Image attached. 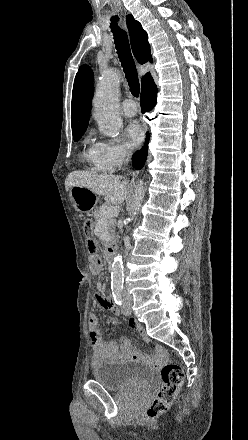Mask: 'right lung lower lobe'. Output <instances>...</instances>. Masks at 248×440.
<instances>
[{
  "label": "right lung lower lobe",
  "instance_id": "right-lung-lower-lobe-1",
  "mask_svg": "<svg viewBox=\"0 0 248 440\" xmlns=\"http://www.w3.org/2000/svg\"><path fill=\"white\" fill-rule=\"evenodd\" d=\"M157 87L153 81L150 79L142 87L140 105L142 113L152 110L156 104ZM149 141V134H147L146 146H144L140 151H137L132 157V163L136 169H141L145 163L147 157V144Z\"/></svg>",
  "mask_w": 248,
  "mask_h": 440
}]
</instances>
